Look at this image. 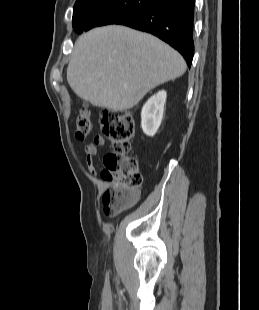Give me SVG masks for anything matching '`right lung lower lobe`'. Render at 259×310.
I'll list each match as a JSON object with an SVG mask.
<instances>
[{
	"label": "right lung lower lobe",
	"instance_id": "1",
	"mask_svg": "<svg viewBox=\"0 0 259 310\" xmlns=\"http://www.w3.org/2000/svg\"><path fill=\"white\" fill-rule=\"evenodd\" d=\"M194 5L195 0H155L153 4L115 24L159 37L179 51L190 66L194 55Z\"/></svg>",
	"mask_w": 259,
	"mask_h": 310
}]
</instances>
